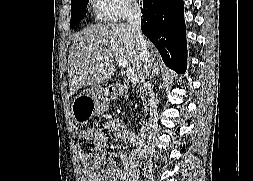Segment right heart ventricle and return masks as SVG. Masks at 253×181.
I'll return each mask as SVG.
<instances>
[{
  "mask_svg": "<svg viewBox=\"0 0 253 181\" xmlns=\"http://www.w3.org/2000/svg\"><path fill=\"white\" fill-rule=\"evenodd\" d=\"M92 16L96 21L109 19L108 8L104 0H89Z\"/></svg>",
  "mask_w": 253,
  "mask_h": 181,
  "instance_id": "e07e8e85",
  "label": "right heart ventricle"
}]
</instances>
